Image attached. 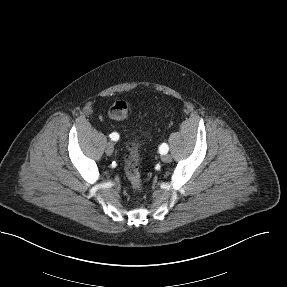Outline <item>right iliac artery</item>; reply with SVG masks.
I'll return each mask as SVG.
<instances>
[{
	"label": "right iliac artery",
	"mask_w": 287,
	"mask_h": 287,
	"mask_svg": "<svg viewBox=\"0 0 287 287\" xmlns=\"http://www.w3.org/2000/svg\"><path fill=\"white\" fill-rule=\"evenodd\" d=\"M110 138L113 141H117L119 139V134L116 133V132H113V133L110 134Z\"/></svg>",
	"instance_id": "1"
}]
</instances>
